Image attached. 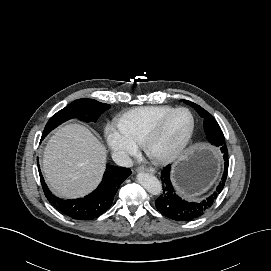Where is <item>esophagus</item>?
<instances>
[{
    "label": "esophagus",
    "mask_w": 271,
    "mask_h": 271,
    "mask_svg": "<svg viewBox=\"0 0 271 271\" xmlns=\"http://www.w3.org/2000/svg\"><path fill=\"white\" fill-rule=\"evenodd\" d=\"M137 171L138 172H148V173H151V174H155L156 173V170L154 168H152V167H146V166L138 167Z\"/></svg>",
    "instance_id": "1"
}]
</instances>
